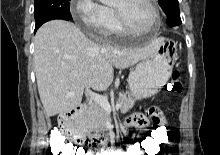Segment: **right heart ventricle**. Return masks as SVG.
<instances>
[{
	"label": "right heart ventricle",
	"instance_id": "e07e8e85",
	"mask_svg": "<svg viewBox=\"0 0 220 155\" xmlns=\"http://www.w3.org/2000/svg\"><path fill=\"white\" fill-rule=\"evenodd\" d=\"M110 16H111V21H110V25H109V31L108 34L111 35H116V36H123L126 34V32L123 30V28L121 27L116 14L114 12V10L112 9H108Z\"/></svg>",
	"mask_w": 220,
	"mask_h": 155
}]
</instances>
